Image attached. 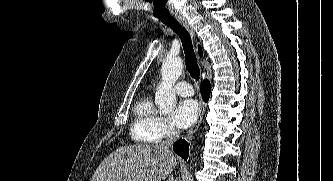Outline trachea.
<instances>
[{
	"instance_id": "1",
	"label": "trachea",
	"mask_w": 333,
	"mask_h": 181,
	"mask_svg": "<svg viewBox=\"0 0 333 181\" xmlns=\"http://www.w3.org/2000/svg\"><path fill=\"white\" fill-rule=\"evenodd\" d=\"M164 23L172 28L180 37L185 54L186 67L191 77L197 81L200 76V69L197 64L196 55L188 31L176 20L165 21Z\"/></svg>"
}]
</instances>
